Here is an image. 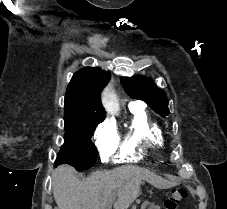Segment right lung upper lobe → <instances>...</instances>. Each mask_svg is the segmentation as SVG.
<instances>
[{"label": "right lung upper lobe", "mask_w": 227, "mask_h": 209, "mask_svg": "<svg viewBox=\"0 0 227 209\" xmlns=\"http://www.w3.org/2000/svg\"><path fill=\"white\" fill-rule=\"evenodd\" d=\"M110 77V73L98 67H86L76 72L65 95L64 119L85 116L105 118L100 93Z\"/></svg>", "instance_id": "right-lung-upper-lobe-1"}]
</instances>
